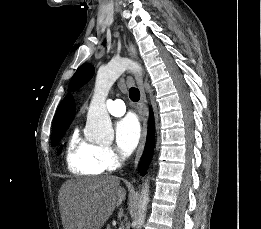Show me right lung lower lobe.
I'll return each mask as SVG.
<instances>
[{"mask_svg":"<svg viewBox=\"0 0 261 229\" xmlns=\"http://www.w3.org/2000/svg\"><path fill=\"white\" fill-rule=\"evenodd\" d=\"M154 124H153V117L152 113L150 115L149 120V127H148V135H147V142H146V148L144 152V159L142 161L140 172L144 175L147 171L149 162L152 157L153 147H154Z\"/></svg>","mask_w":261,"mask_h":229,"instance_id":"right-lung-lower-lobe-1","label":"right lung lower lobe"}]
</instances>
